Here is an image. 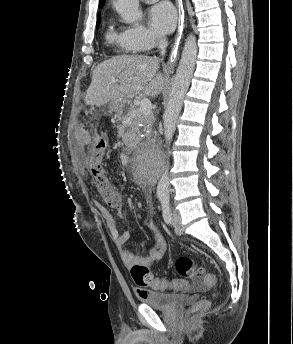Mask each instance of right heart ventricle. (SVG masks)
I'll return each instance as SVG.
<instances>
[{"mask_svg":"<svg viewBox=\"0 0 293 344\" xmlns=\"http://www.w3.org/2000/svg\"><path fill=\"white\" fill-rule=\"evenodd\" d=\"M105 38L108 43L118 48L121 52H134L125 42L122 31H118L112 23H110L106 29Z\"/></svg>","mask_w":293,"mask_h":344,"instance_id":"obj_1","label":"right heart ventricle"}]
</instances>
